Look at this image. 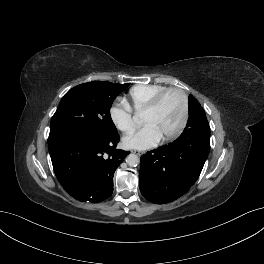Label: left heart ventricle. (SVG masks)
<instances>
[{
	"label": "left heart ventricle",
	"instance_id": "left-heart-ventricle-1",
	"mask_svg": "<svg viewBox=\"0 0 264 264\" xmlns=\"http://www.w3.org/2000/svg\"><path fill=\"white\" fill-rule=\"evenodd\" d=\"M182 117V101L177 93H169L158 106L150 113H143V124H151L164 137L173 132L179 125Z\"/></svg>",
	"mask_w": 264,
	"mask_h": 264
}]
</instances>
